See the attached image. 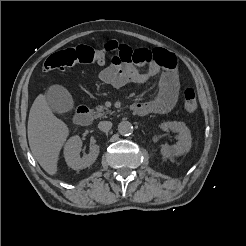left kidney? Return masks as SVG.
<instances>
[{
    "mask_svg": "<svg viewBox=\"0 0 246 246\" xmlns=\"http://www.w3.org/2000/svg\"><path fill=\"white\" fill-rule=\"evenodd\" d=\"M162 129H170L178 132L177 142L174 145H162L161 154L166 158L181 156L189 152L192 145L191 133L183 122L171 121L164 122L160 125Z\"/></svg>",
    "mask_w": 246,
    "mask_h": 246,
    "instance_id": "1",
    "label": "left kidney"
}]
</instances>
